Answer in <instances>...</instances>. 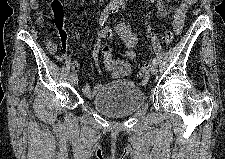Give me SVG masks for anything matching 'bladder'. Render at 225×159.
Segmentation results:
<instances>
[{
    "label": "bladder",
    "mask_w": 225,
    "mask_h": 159,
    "mask_svg": "<svg viewBox=\"0 0 225 159\" xmlns=\"http://www.w3.org/2000/svg\"><path fill=\"white\" fill-rule=\"evenodd\" d=\"M146 103L144 91L133 81L117 80L99 88L91 99L92 106L110 117H127Z\"/></svg>",
    "instance_id": "obj_1"
}]
</instances>
